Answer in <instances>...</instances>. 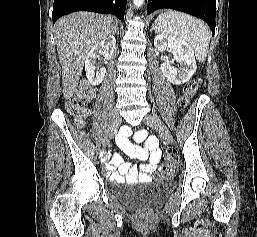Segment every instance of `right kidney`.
<instances>
[{
    "label": "right kidney",
    "mask_w": 257,
    "mask_h": 237,
    "mask_svg": "<svg viewBox=\"0 0 257 237\" xmlns=\"http://www.w3.org/2000/svg\"><path fill=\"white\" fill-rule=\"evenodd\" d=\"M115 46V37L109 36L95 44L88 52L87 57L85 59V71L86 77L91 85H99L103 81L106 74V69L103 67L100 68L99 71H96V59L99 55H103L105 59L109 60L114 53Z\"/></svg>",
    "instance_id": "1"
}]
</instances>
